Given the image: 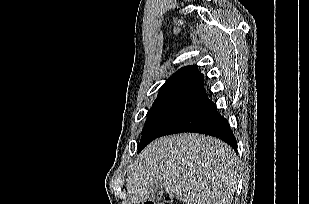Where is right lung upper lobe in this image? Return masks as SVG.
Wrapping results in <instances>:
<instances>
[{
  "label": "right lung upper lobe",
  "mask_w": 309,
  "mask_h": 204,
  "mask_svg": "<svg viewBox=\"0 0 309 204\" xmlns=\"http://www.w3.org/2000/svg\"><path fill=\"white\" fill-rule=\"evenodd\" d=\"M203 83L204 77L196 66H185L166 80L154 103H192L198 106L209 100Z\"/></svg>",
  "instance_id": "right-lung-upper-lobe-1"
}]
</instances>
